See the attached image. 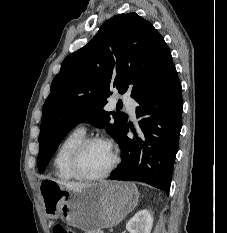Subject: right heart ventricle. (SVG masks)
<instances>
[{
	"label": "right heart ventricle",
	"instance_id": "1",
	"mask_svg": "<svg viewBox=\"0 0 227 233\" xmlns=\"http://www.w3.org/2000/svg\"><path fill=\"white\" fill-rule=\"evenodd\" d=\"M85 133L74 130L69 133L59 145L53 160L55 175L62 180L70 181L76 179L69 166L72 151L76 145L84 139Z\"/></svg>",
	"mask_w": 227,
	"mask_h": 233
}]
</instances>
